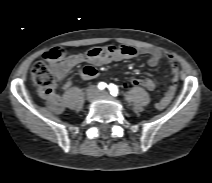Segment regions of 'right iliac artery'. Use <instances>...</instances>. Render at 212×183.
Segmentation results:
<instances>
[{
    "instance_id": "right-iliac-artery-1",
    "label": "right iliac artery",
    "mask_w": 212,
    "mask_h": 183,
    "mask_svg": "<svg viewBox=\"0 0 212 183\" xmlns=\"http://www.w3.org/2000/svg\"><path fill=\"white\" fill-rule=\"evenodd\" d=\"M105 87H107V84L104 83V82H100V83L98 84V88H99L100 90L105 89Z\"/></svg>"
}]
</instances>
